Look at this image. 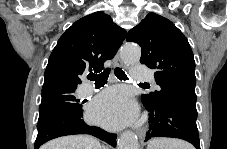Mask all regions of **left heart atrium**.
I'll list each match as a JSON object with an SVG mask.
<instances>
[{
    "label": "left heart atrium",
    "instance_id": "obj_1",
    "mask_svg": "<svg viewBox=\"0 0 227 149\" xmlns=\"http://www.w3.org/2000/svg\"><path fill=\"white\" fill-rule=\"evenodd\" d=\"M137 108L120 87H113L97 96L90 107L89 118L108 128H120L132 122Z\"/></svg>",
    "mask_w": 227,
    "mask_h": 149
}]
</instances>
